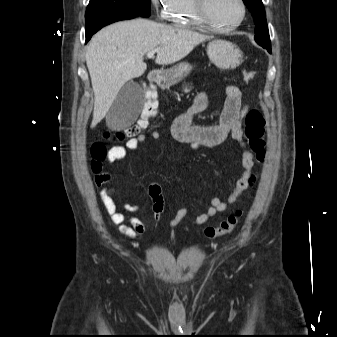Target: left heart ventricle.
I'll use <instances>...</instances> for the list:
<instances>
[{
    "label": "left heart ventricle",
    "instance_id": "left-heart-ventricle-1",
    "mask_svg": "<svg viewBox=\"0 0 337 337\" xmlns=\"http://www.w3.org/2000/svg\"><path fill=\"white\" fill-rule=\"evenodd\" d=\"M207 10L210 18L223 26L237 22L241 16L238 0H207Z\"/></svg>",
    "mask_w": 337,
    "mask_h": 337
}]
</instances>
